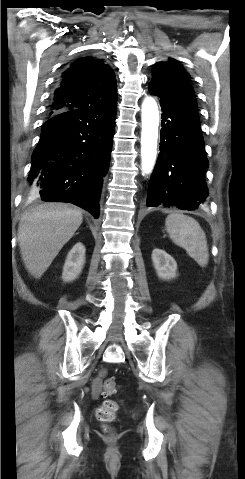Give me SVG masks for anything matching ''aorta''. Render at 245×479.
I'll use <instances>...</instances> for the list:
<instances>
[{
  "label": "aorta",
  "instance_id": "obj_1",
  "mask_svg": "<svg viewBox=\"0 0 245 479\" xmlns=\"http://www.w3.org/2000/svg\"><path fill=\"white\" fill-rule=\"evenodd\" d=\"M141 158L142 171H152L157 155L159 111L156 101L147 97L142 103Z\"/></svg>",
  "mask_w": 245,
  "mask_h": 479
}]
</instances>
